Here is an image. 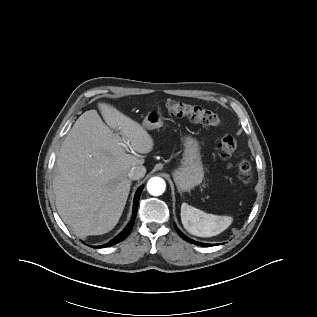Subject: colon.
Here are the masks:
<instances>
[{
    "label": "colon",
    "instance_id": "5ec220e1",
    "mask_svg": "<svg viewBox=\"0 0 317 317\" xmlns=\"http://www.w3.org/2000/svg\"><path fill=\"white\" fill-rule=\"evenodd\" d=\"M167 110L171 116L188 117L192 121L211 126L218 127L221 125L219 116L212 111L195 104H188L182 101H170L167 103ZM236 139L227 135L222 138L217 146L218 156L226 160L231 157L236 149ZM239 179L244 183H249L253 176V167L248 160H240L236 167Z\"/></svg>",
    "mask_w": 317,
    "mask_h": 317
}]
</instances>
